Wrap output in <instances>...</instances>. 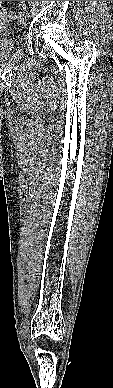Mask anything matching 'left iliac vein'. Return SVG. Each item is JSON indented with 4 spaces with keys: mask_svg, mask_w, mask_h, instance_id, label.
<instances>
[{
    "mask_svg": "<svg viewBox=\"0 0 113 388\" xmlns=\"http://www.w3.org/2000/svg\"><path fill=\"white\" fill-rule=\"evenodd\" d=\"M18 18H19V21L21 24H25L29 18L27 11L24 10V11L19 12Z\"/></svg>",
    "mask_w": 113,
    "mask_h": 388,
    "instance_id": "1",
    "label": "left iliac vein"
}]
</instances>
